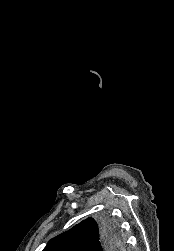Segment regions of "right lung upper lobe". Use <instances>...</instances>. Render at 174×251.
Wrapping results in <instances>:
<instances>
[{
  "mask_svg": "<svg viewBox=\"0 0 174 251\" xmlns=\"http://www.w3.org/2000/svg\"><path fill=\"white\" fill-rule=\"evenodd\" d=\"M100 225L101 222L89 217L51 239L43 251H93L100 241ZM119 248V242L112 246L113 250Z\"/></svg>",
  "mask_w": 174,
  "mask_h": 251,
  "instance_id": "cb5924a9",
  "label": "right lung upper lobe"
}]
</instances>
